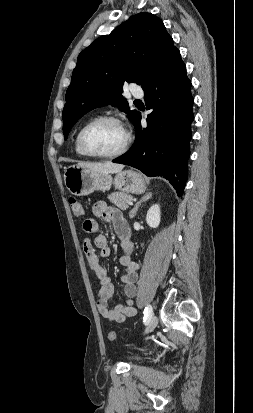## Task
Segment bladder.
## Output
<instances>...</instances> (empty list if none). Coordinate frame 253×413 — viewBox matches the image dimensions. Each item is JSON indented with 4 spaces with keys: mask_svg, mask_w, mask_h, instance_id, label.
Segmentation results:
<instances>
[{
    "mask_svg": "<svg viewBox=\"0 0 253 413\" xmlns=\"http://www.w3.org/2000/svg\"><path fill=\"white\" fill-rule=\"evenodd\" d=\"M130 359L135 363H142L144 360L143 357L138 355L131 356Z\"/></svg>",
    "mask_w": 253,
    "mask_h": 413,
    "instance_id": "31cf9c89",
    "label": "bladder"
}]
</instances>
